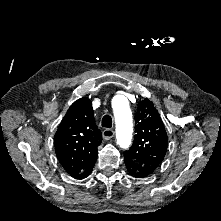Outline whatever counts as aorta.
Instances as JSON below:
<instances>
[{
  "instance_id": "762f6f07",
  "label": "aorta",
  "mask_w": 221,
  "mask_h": 221,
  "mask_svg": "<svg viewBox=\"0 0 221 221\" xmlns=\"http://www.w3.org/2000/svg\"><path fill=\"white\" fill-rule=\"evenodd\" d=\"M114 117L116 122V138L118 145L126 149L132 140V113L125 97H119L113 102Z\"/></svg>"
}]
</instances>
